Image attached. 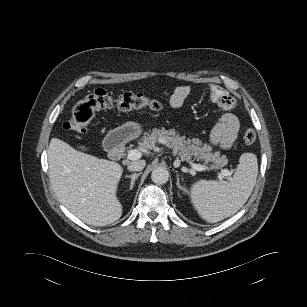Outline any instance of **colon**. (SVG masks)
<instances>
[{"instance_id": "5ec220e1", "label": "colon", "mask_w": 307, "mask_h": 307, "mask_svg": "<svg viewBox=\"0 0 307 307\" xmlns=\"http://www.w3.org/2000/svg\"><path fill=\"white\" fill-rule=\"evenodd\" d=\"M111 108L125 111L142 108L160 110L162 104L159 100L141 93L124 92L119 95H113L103 89H97L74 105L71 116L63 124V127L65 130L76 134H84L97 112ZM242 139L246 144L250 145L256 140V132L250 128L246 129L242 134Z\"/></svg>"}]
</instances>
